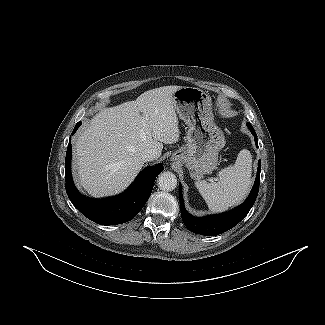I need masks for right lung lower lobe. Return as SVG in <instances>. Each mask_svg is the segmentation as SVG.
I'll return each instance as SVG.
<instances>
[{
	"mask_svg": "<svg viewBox=\"0 0 325 325\" xmlns=\"http://www.w3.org/2000/svg\"><path fill=\"white\" fill-rule=\"evenodd\" d=\"M80 125L81 122L76 124L73 133ZM71 151V142H69L65 158L67 195L84 216L101 225H116L132 220L149 199L156 176L163 171L161 164L147 167L125 193L111 198L91 199L81 195L73 183Z\"/></svg>",
	"mask_w": 325,
	"mask_h": 325,
	"instance_id": "right-lung-lower-lobe-1",
	"label": "right lung lower lobe"
}]
</instances>
